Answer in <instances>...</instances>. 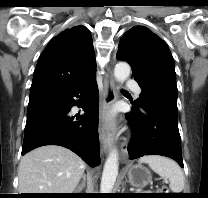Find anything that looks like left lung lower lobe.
<instances>
[{"label": "left lung lower lobe", "mask_w": 208, "mask_h": 198, "mask_svg": "<svg viewBox=\"0 0 208 198\" xmlns=\"http://www.w3.org/2000/svg\"><path fill=\"white\" fill-rule=\"evenodd\" d=\"M126 119L132 127L127 148L130 159L162 155L184 167L176 113L163 103L151 100L128 113Z\"/></svg>", "instance_id": "obj_1"}]
</instances>
